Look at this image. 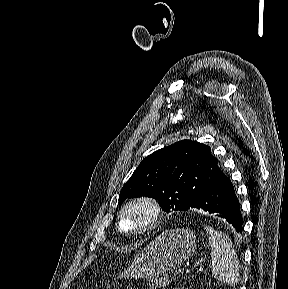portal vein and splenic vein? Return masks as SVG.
Here are the masks:
<instances>
[{"label":"portal vein and splenic vein","instance_id":"18ae733b","mask_svg":"<svg viewBox=\"0 0 288 289\" xmlns=\"http://www.w3.org/2000/svg\"><path fill=\"white\" fill-rule=\"evenodd\" d=\"M186 270H187V268H180V269H178L177 271H175L173 275H174V276H177V275H179V274L184 273Z\"/></svg>","mask_w":288,"mask_h":289}]
</instances>
